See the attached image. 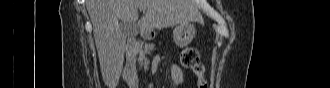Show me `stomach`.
I'll list each match as a JSON object with an SVG mask.
<instances>
[{
  "label": "stomach",
  "mask_w": 330,
  "mask_h": 88,
  "mask_svg": "<svg viewBox=\"0 0 330 88\" xmlns=\"http://www.w3.org/2000/svg\"><path fill=\"white\" fill-rule=\"evenodd\" d=\"M195 33H196V28L193 24L190 23L179 24L173 30L174 42L180 48H184L191 43V41L195 36ZM150 37H151L150 35L147 36V38Z\"/></svg>",
  "instance_id": "1"
}]
</instances>
